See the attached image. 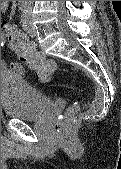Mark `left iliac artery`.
<instances>
[{
	"label": "left iliac artery",
	"mask_w": 121,
	"mask_h": 169,
	"mask_svg": "<svg viewBox=\"0 0 121 169\" xmlns=\"http://www.w3.org/2000/svg\"><path fill=\"white\" fill-rule=\"evenodd\" d=\"M22 15H21V24L24 28L27 26V19H28V10L27 8H22Z\"/></svg>",
	"instance_id": "obj_1"
}]
</instances>
